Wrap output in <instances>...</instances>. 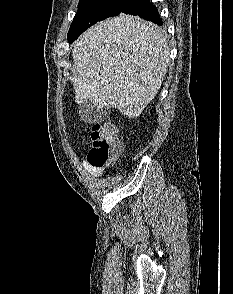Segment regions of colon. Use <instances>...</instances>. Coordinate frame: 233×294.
I'll list each match as a JSON object with an SVG mask.
<instances>
[{"instance_id":"obj_1","label":"colon","mask_w":233,"mask_h":294,"mask_svg":"<svg viewBox=\"0 0 233 294\" xmlns=\"http://www.w3.org/2000/svg\"><path fill=\"white\" fill-rule=\"evenodd\" d=\"M91 139L92 147L87 156L90 166L101 169L120 155L122 146L117 138V129L113 124L92 125Z\"/></svg>"}]
</instances>
